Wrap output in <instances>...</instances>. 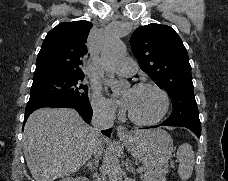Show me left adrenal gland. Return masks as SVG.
<instances>
[{
  "mask_svg": "<svg viewBox=\"0 0 228 181\" xmlns=\"http://www.w3.org/2000/svg\"><path fill=\"white\" fill-rule=\"evenodd\" d=\"M126 171H130V173L136 175V169H134L133 165H130V163H126Z\"/></svg>",
  "mask_w": 228,
  "mask_h": 181,
  "instance_id": "1",
  "label": "left adrenal gland"
}]
</instances>
